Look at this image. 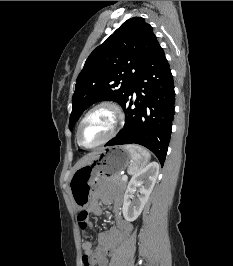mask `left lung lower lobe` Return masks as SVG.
<instances>
[{
  "mask_svg": "<svg viewBox=\"0 0 233 266\" xmlns=\"http://www.w3.org/2000/svg\"><path fill=\"white\" fill-rule=\"evenodd\" d=\"M136 93L135 102L131 96ZM173 76L163 49L158 45L146 61L134 88L123 104L125 126L105 146L139 144L150 149L163 166L174 118ZM135 108H132V105Z\"/></svg>",
  "mask_w": 233,
  "mask_h": 266,
  "instance_id": "0a47b994",
  "label": "left lung lower lobe"
}]
</instances>
